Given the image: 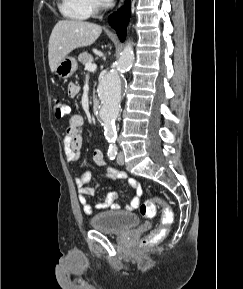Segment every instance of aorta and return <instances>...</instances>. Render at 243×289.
Listing matches in <instances>:
<instances>
[{
	"label": "aorta",
	"mask_w": 243,
	"mask_h": 289,
	"mask_svg": "<svg viewBox=\"0 0 243 289\" xmlns=\"http://www.w3.org/2000/svg\"><path fill=\"white\" fill-rule=\"evenodd\" d=\"M134 63L133 45L129 41L116 62L115 68L107 73L98 86L100 99L99 118L104 127V135L109 143V151L116 152L115 120L120 112L121 94L123 88L122 74L128 71Z\"/></svg>",
	"instance_id": "762f6f07"
}]
</instances>
